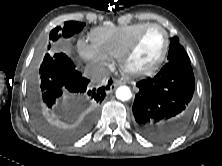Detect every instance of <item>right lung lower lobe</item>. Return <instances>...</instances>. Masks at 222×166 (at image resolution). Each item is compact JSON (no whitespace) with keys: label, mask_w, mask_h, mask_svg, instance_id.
I'll return each mask as SVG.
<instances>
[{"label":"right lung lower lobe","mask_w":222,"mask_h":166,"mask_svg":"<svg viewBox=\"0 0 222 166\" xmlns=\"http://www.w3.org/2000/svg\"><path fill=\"white\" fill-rule=\"evenodd\" d=\"M40 83L33 96L34 107H43L48 113L58 110L64 103L84 94L101 103L110 89L112 80L106 87L87 90L89 80L75 70L71 59L64 53L46 54L39 70Z\"/></svg>","instance_id":"right-lung-lower-lobe-1"}]
</instances>
